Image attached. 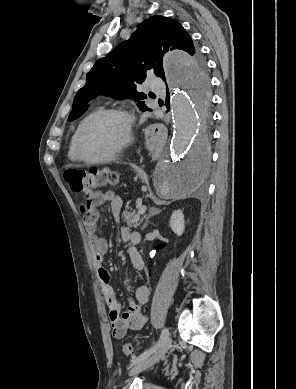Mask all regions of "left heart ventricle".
Masks as SVG:
<instances>
[{
    "instance_id": "left-heart-ventricle-1",
    "label": "left heart ventricle",
    "mask_w": 296,
    "mask_h": 389,
    "mask_svg": "<svg viewBox=\"0 0 296 389\" xmlns=\"http://www.w3.org/2000/svg\"><path fill=\"white\" fill-rule=\"evenodd\" d=\"M126 133L125 121L116 115H108L94 121L85 131L82 148L86 156H103L117 147Z\"/></svg>"
}]
</instances>
